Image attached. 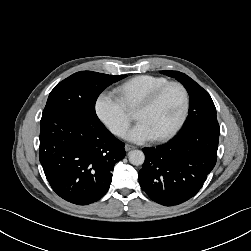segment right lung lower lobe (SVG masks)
Returning <instances> with one entry per match:
<instances>
[{
	"label": "right lung lower lobe",
	"instance_id": "1",
	"mask_svg": "<svg viewBox=\"0 0 251 251\" xmlns=\"http://www.w3.org/2000/svg\"><path fill=\"white\" fill-rule=\"evenodd\" d=\"M124 143L99 119L75 111L41 118L39 159L52 189L64 200L87 205L109 189Z\"/></svg>",
	"mask_w": 251,
	"mask_h": 251
}]
</instances>
